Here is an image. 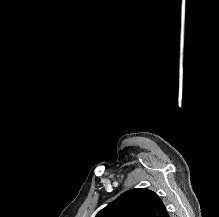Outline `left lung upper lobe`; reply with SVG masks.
Here are the masks:
<instances>
[{
  "mask_svg": "<svg viewBox=\"0 0 219 217\" xmlns=\"http://www.w3.org/2000/svg\"><path fill=\"white\" fill-rule=\"evenodd\" d=\"M96 217H169L160 197L145 188L131 189L120 195Z\"/></svg>",
  "mask_w": 219,
  "mask_h": 217,
  "instance_id": "obj_1",
  "label": "left lung upper lobe"
}]
</instances>
